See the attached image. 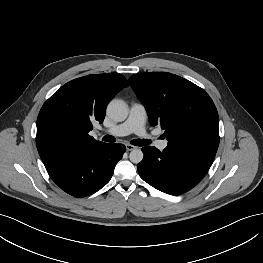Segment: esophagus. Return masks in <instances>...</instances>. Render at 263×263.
<instances>
[{
  "label": "esophagus",
  "mask_w": 263,
  "mask_h": 263,
  "mask_svg": "<svg viewBox=\"0 0 263 263\" xmlns=\"http://www.w3.org/2000/svg\"><path fill=\"white\" fill-rule=\"evenodd\" d=\"M126 149H127V151H132V150L136 149V147L134 145H131V144H126Z\"/></svg>",
  "instance_id": "34e87169"
}]
</instances>
